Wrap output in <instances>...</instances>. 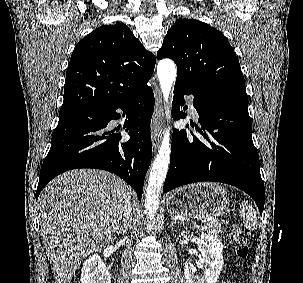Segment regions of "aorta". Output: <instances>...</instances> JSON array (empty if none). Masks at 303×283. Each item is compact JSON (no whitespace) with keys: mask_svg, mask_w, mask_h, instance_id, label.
<instances>
[{"mask_svg":"<svg viewBox=\"0 0 303 283\" xmlns=\"http://www.w3.org/2000/svg\"><path fill=\"white\" fill-rule=\"evenodd\" d=\"M157 75L163 97L168 102L172 85L177 76V69L174 62L170 59H163L158 63ZM166 117L170 118V111L167 109ZM171 143L170 131L166 129L158 154L152 164L148 186L145 193V213L148 220L155 218L159 208L160 192L168 172L170 163Z\"/></svg>","mask_w":303,"mask_h":283,"instance_id":"obj_1","label":"aorta"}]
</instances>
